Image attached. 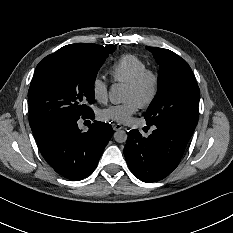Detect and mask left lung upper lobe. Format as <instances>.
Wrapping results in <instances>:
<instances>
[{"label":"left lung upper lobe","instance_id":"1","mask_svg":"<svg viewBox=\"0 0 233 233\" xmlns=\"http://www.w3.org/2000/svg\"><path fill=\"white\" fill-rule=\"evenodd\" d=\"M146 48L153 54L161 70L157 95L145 114L147 125L195 129L200 90L190 66L168 49Z\"/></svg>","mask_w":233,"mask_h":233}]
</instances>
